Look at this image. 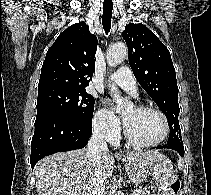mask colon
Segmentation results:
<instances>
[{"instance_id": "colon-1", "label": "colon", "mask_w": 211, "mask_h": 195, "mask_svg": "<svg viewBox=\"0 0 211 195\" xmlns=\"http://www.w3.org/2000/svg\"><path fill=\"white\" fill-rule=\"evenodd\" d=\"M163 190L169 194H177L180 190V182L178 180L166 185Z\"/></svg>"}]
</instances>
